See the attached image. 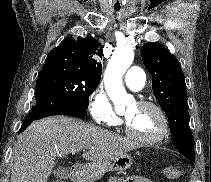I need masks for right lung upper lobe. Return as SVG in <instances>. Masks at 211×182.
Returning <instances> with one entry per match:
<instances>
[{"label": "right lung upper lobe", "instance_id": "obj_1", "mask_svg": "<svg viewBox=\"0 0 211 182\" xmlns=\"http://www.w3.org/2000/svg\"><path fill=\"white\" fill-rule=\"evenodd\" d=\"M103 56L101 44L92 37H66L58 47L52 49L43 67L62 66L65 70L73 71L93 80H101L102 64L98 58Z\"/></svg>", "mask_w": 211, "mask_h": 182}]
</instances>
